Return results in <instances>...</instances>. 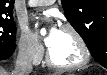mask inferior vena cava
Wrapping results in <instances>:
<instances>
[{
  "label": "inferior vena cava",
  "mask_w": 107,
  "mask_h": 75,
  "mask_svg": "<svg viewBox=\"0 0 107 75\" xmlns=\"http://www.w3.org/2000/svg\"><path fill=\"white\" fill-rule=\"evenodd\" d=\"M32 70L31 51L28 47H23L18 52L12 75H30Z\"/></svg>",
  "instance_id": "1"
}]
</instances>
